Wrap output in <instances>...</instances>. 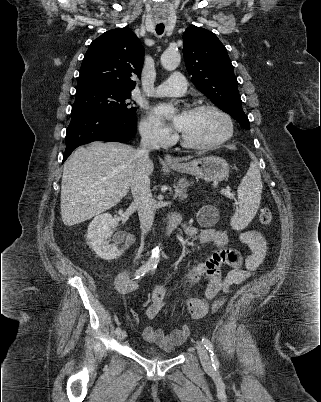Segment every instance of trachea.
I'll return each mask as SVG.
<instances>
[{
    "instance_id": "1",
    "label": "trachea",
    "mask_w": 321,
    "mask_h": 402,
    "mask_svg": "<svg viewBox=\"0 0 321 402\" xmlns=\"http://www.w3.org/2000/svg\"><path fill=\"white\" fill-rule=\"evenodd\" d=\"M164 28H165L164 24H157L156 25V33L158 35H161L164 32Z\"/></svg>"
}]
</instances>
